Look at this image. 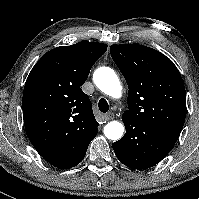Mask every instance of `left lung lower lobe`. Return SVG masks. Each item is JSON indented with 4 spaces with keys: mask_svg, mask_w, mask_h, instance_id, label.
I'll return each instance as SVG.
<instances>
[{
    "mask_svg": "<svg viewBox=\"0 0 199 199\" xmlns=\"http://www.w3.org/2000/svg\"><path fill=\"white\" fill-rule=\"evenodd\" d=\"M126 133L112 144L119 161L132 169H146L159 163L177 139L134 120H123Z\"/></svg>",
    "mask_w": 199,
    "mask_h": 199,
    "instance_id": "1",
    "label": "left lung lower lobe"
}]
</instances>
